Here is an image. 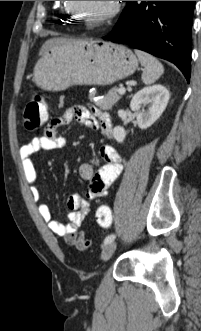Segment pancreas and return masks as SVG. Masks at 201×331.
I'll use <instances>...</instances> for the list:
<instances>
[{"label":"pancreas","instance_id":"cf45deb5","mask_svg":"<svg viewBox=\"0 0 201 331\" xmlns=\"http://www.w3.org/2000/svg\"><path fill=\"white\" fill-rule=\"evenodd\" d=\"M95 94V92L90 93L89 99L103 110L111 109L112 106L115 105L121 99V95L118 94V88L116 87L109 90L106 95L96 101L94 100Z\"/></svg>","mask_w":201,"mask_h":331}]
</instances>
